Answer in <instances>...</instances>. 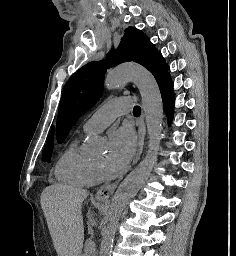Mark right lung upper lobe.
<instances>
[{
    "mask_svg": "<svg viewBox=\"0 0 236 256\" xmlns=\"http://www.w3.org/2000/svg\"><path fill=\"white\" fill-rule=\"evenodd\" d=\"M54 141V127L52 128L51 132H50V135H49V138H48V142H53Z\"/></svg>",
    "mask_w": 236,
    "mask_h": 256,
    "instance_id": "right-lung-upper-lobe-1",
    "label": "right lung upper lobe"
}]
</instances>
